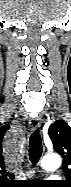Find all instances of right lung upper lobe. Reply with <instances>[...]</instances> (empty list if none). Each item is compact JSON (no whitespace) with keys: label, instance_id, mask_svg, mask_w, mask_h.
<instances>
[{"label":"right lung upper lobe","instance_id":"1","mask_svg":"<svg viewBox=\"0 0 71 187\" xmlns=\"http://www.w3.org/2000/svg\"><path fill=\"white\" fill-rule=\"evenodd\" d=\"M9 128H10L9 125H4V126H2V127L0 128V135L3 136L4 133H5ZM1 159H2V158H1ZM1 163H3V159H2V161H1ZM2 169L5 171L4 168H2Z\"/></svg>","mask_w":71,"mask_h":187}]
</instances>
